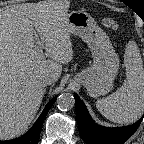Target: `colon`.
Here are the masks:
<instances>
[{
  "label": "colon",
  "mask_w": 144,
  "mask_h": 144,
  "mask_svg": "<svg viewBox=\"0 0 144 144\" xmlns=\"http://www.w3.org/2000/svg\"><path fill=\"white\" fill-rule=\"evenodd\" d=\"M104 23H105L106 26H111V25L114 24L113 20H111V19H106V20L104 21Z\"/></svg>",
  "instance_id": "1"
}]
</instances>
